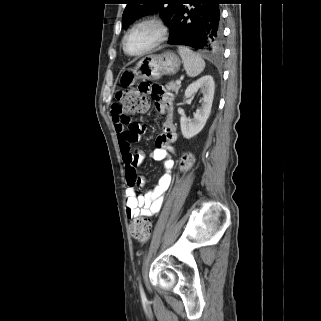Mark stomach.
I'll use <instances>...</instances> for the list:
<instances>
[{
  "mask_svg": "<svg viewBox=\"0 0 321 321\" xmlns=\"http://www.w3.org/2000/svg\"><path fill=\"white\" fill-rule=\"evenodd\" d=\"M181 60L172 51L142 58L134 68L126 69L120 76V83L132 86L138 79L156 80L163 75H173L180 69Z\"/></svg>",
  "mask_w": 321,
  "mask_h": 321,
  "instance_id": "0dacf381",
  "label": "stomach"
}]
</instances>
